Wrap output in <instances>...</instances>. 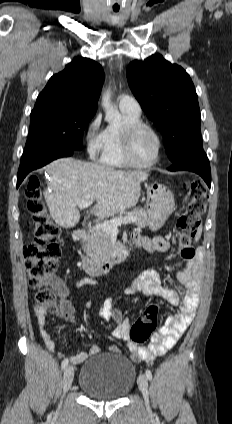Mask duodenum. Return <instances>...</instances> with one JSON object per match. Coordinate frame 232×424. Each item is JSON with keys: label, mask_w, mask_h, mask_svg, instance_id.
Segmentation results:
<instances>
[{"label": "duodenum", "mask_w": 232, "mask_h": 424, "mask_svg": "<svg viewBox=\"0 0 232 424\" xmlns=\"http://www.w3.org/2000/svg\"><path fill=\"white\" fill-rule=\"evenodd\" d=\"M87 237L85 230L78 229L75 231V238L83 244ZM133 241V239H132ZM134 243V241H133ZM135 244V243H134ZM136 245V244H135ZM126 248L120 245L112 249L108 255L100 258H94L84 247L81 249V266L82 269L91 276H100L107 273L115 264L124 261V253Z\"/></svg>", "instance_id": "duodenum-1"}]
</instances>
